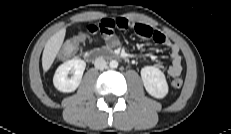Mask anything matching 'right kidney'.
Instances as JSON below:
<instances>
[{"instance_id": "right-kidney-1", "label": "right kidney", "mask_w": 231, "mask_h": 134, "mask_svg": "<svg viewBox=\"0 0 231 134\" xmlns=\"http://www.w3.org/2000/svg\"><path fill=\"white\" fill-rule=\"evenodd\" d=\"M86 63L81 59H71L61 64L53 77V84L60 92H73L79 86L83 72L85 70ZM72 73L71 78L68 74Z\"/></svg>"}]
</instances>
